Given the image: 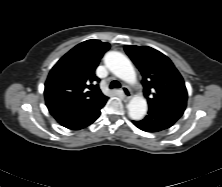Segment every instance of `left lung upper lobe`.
Returning a JSON list of instances; mask_svg holds the SVG:
<instances>
[{
    "instance_id": "5c2ea615",
    "label": "left lung upper lobe",
    "mask_w": 222,
    "mask_h": 187,
    "mask_svg": "<svg viewBox=\"0 0 222 187\" xmlns=\"http://www.w3.org/2000/svg\"><path fill=\"white\" fill-rule=\"evenodd\" d=\"M124 49L142 74L144 95L149 107H186L187 90L184 80L167 56L148 46L127 45Z\"/></svg>"
}]
</instances>
